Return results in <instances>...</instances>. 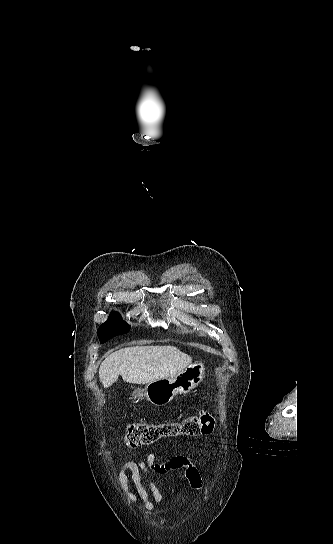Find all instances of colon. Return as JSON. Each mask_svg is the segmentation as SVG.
<instances>
[{
    "label": "colon",
    "mask_w": 333,
    "mask_h": 544,
    "mask_svg": "<svg viewBox=\"0 0 333 544\" xmlns=\"http://www.w3.org/2000/svg\"><path fill=\"white\" fill-rule=\"evenodd\" d=\"M214 425L215 419L208 413L190 416L180 421L172 422H133L129 424L126 429L124 443L127 448L134 449L140 446L150 445L164 437L178 435L199 436L209 434L213 431Z\"/></svg>",
    "instance_id": "1"
}]
</instances>
